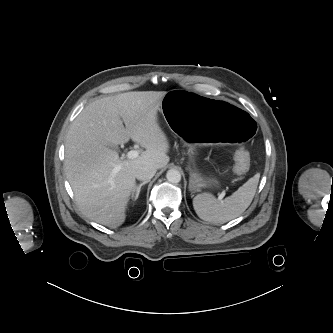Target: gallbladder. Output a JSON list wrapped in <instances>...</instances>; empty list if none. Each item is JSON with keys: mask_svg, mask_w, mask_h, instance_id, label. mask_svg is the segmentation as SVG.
<instances>
[{"mask_svg": "<svg viewBox=\"0 0 333 333\" xmlns=\"http://www.w3.org/2000/svg\"><path fill=\"white\" fill-rule=\"evenodd\" d=\"M111 148L114 149V150L116 149L115 147H111Z\"/></svg>", "mask_w": 333, "mask_h": 333, "instance_id": "bac80fb5", "label": "gallbladder"}]
</instances>
